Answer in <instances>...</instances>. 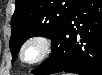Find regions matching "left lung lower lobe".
I'll return each mask as SVG.
<instances>
[{"mask_svg":"<svg viewBox=\"0 0 102 75\" xmlns=\"http://www.w3.org/2000/svg\"><path fill=\"white\" fill-rule=\"evenodd\" d=\"M49 58L34 75H102V0H81L51 39Z\"/></svg>","mask_w":102,"mask_h":75,"instance_id":"1","label":"left lung lower lobe"}]
</instances>
